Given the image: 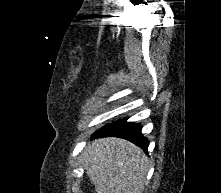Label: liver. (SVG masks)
<instances>
[{"mask_svg":"<svg viewBox=\"0 0 221 193\" xmlns=\"http://www.w3.org/2000/svg\"><path fill=\"white\" fill-rule=\"evenodd\" d=\"M83 166L96 193H143L149 163L135 144L121 138H99L84 150Z\"/></svg>","mask_w":221,"mask_h":193,"instance_id":"liver-1","label":"liver"}]
</instances>
